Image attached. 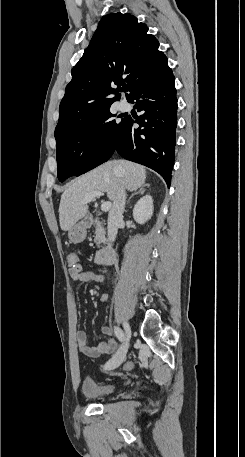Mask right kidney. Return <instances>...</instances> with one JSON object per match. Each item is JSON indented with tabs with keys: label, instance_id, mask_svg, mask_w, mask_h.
<instances>
[{
	"label": "right kidney",
	"instance_id": "obj_1",
	"mask_svg": "<svg viewBox=\"0 0 245 457\" xmlns=\"http://www.w3.org/2000/svg\"><path fill=\"white\" fill-rule=\"evenodd\" d=\"M153 212V198L150 194L142 196L137 200L133 208V218L139 224H144L148 218H151Z\"/></svg>",
	"mask_w": 245,
	"mask_h": 457
}]
</instances>
